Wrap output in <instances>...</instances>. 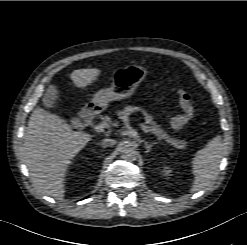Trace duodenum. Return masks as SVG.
Listing matches in <instances>:
<instances>
[{
    "instance_id": "obj_1",
    "label": "duodenum",
    "mask_w": 247,
    "mask_h": 245,
    "mask_svg": "<svg viewBox=\"0 0 247 245\" xmlns=\"http://www.w3.org/2000/svg\"><path fill=\"white\" fill-rule=\"evenodd\" d=\"M95 109L93 107L85 108L80 112V119L83 124L88 125L92 122L95 116Z\"/></svg>"
}]
</instances>
